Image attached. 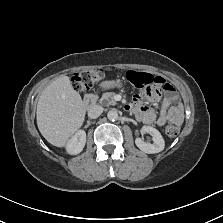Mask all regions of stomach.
<instances>
[{"label":"stomach","instance_id":"0dacf381","mask_svg":"<svg viewBox=\"0 0 223 223\" xmlns=\"http://www.w3.org/2000/svg\"><path fill=\"white\" fill-rule=\"evenodd\" d=\"M103 86L104 87H108L109 86V83H104Z\"/></svg>","mask_w":223,"mask_h":223}]
</instances>
